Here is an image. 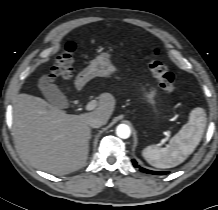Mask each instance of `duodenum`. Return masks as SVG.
Returning <instances> with one entry per match:
<instances>
[{"instance_id":"410a0bca","label":"duodenum","mask_w":218,"mask_h":210,"mask_svg":"<svg viewBox=\"0 0 218 210\" xmlns=\"http://www.w3.org/2000/svg\"><path fill=\"white\" fill-rule=\"evenodd\" d=\"M77 86L78 87H81L85 84V78L84 76H80L78 79H77V82H76Z\"/></svg>"}]
</instances>
